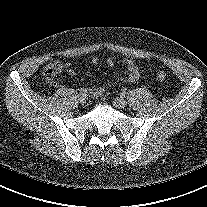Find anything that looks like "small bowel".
<instances>
[{
	"instance_id": "c3829d8e",
	"label": "small bowel",
	"mask_w": 207,
	"mask_h": 207,
	"mask_svg": "<svg viewBox=\"0 0 207 207\" xmlns=\"http://www.w3.org/2000/svg\"><path fill=\"white\" fill-rule=\"evenodd\" d=\"M90 61L94 65L98 64V62H99L97 57H92L90 59ZM55 63L59 65L60 73L63 71V69H66L70 75L76 74V71L72 67L71 63H66L64 65L59 62H55ZM106 63H107V65L112 66V65H114V59L112 57H108L106 59ZM123 66L126 68V75L122 80L132 82V81H136L140 77V71H139L138 65L135 63V61L133 59H131V58L125 59L123 61ZM104 91H105V88L101 87V86H92V87L88 88V90H87V92L92 97H98L102 93H104Z\"/></svg>"
}]
</instances>
